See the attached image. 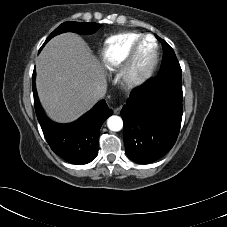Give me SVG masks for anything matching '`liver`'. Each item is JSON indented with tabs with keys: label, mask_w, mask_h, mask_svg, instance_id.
Segmentation results:
<instances>
[{
	"label": "liver",
	"mask_w": 227,
	"mask_h": 227,
	"mask_svg": "<svg viewBox=\"0 0 227 227\" xmlns=\"http://www.w3.org/2000/svg\"><path fill=\"white\" fill-rule=\"evenodd\" d=\"M36 87L48 116L77 119L96 102L93 91L106 84L105 72L85 41L73 33L51 39L36 60Z\"/></svg>",
	"instance_id": "6515ba94"
}]
</instances>
